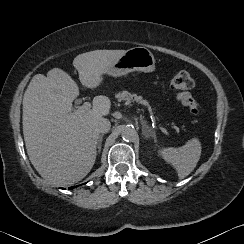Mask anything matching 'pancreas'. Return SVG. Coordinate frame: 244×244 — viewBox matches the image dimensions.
Listing matches in <instances>:
<instances>
[{"label": "pancreas", "mask_w": 244, "mask_h": 244, "mask_svg": "<svg viewBox=\"0 0 244 244\" xmlns=\"http://www.w3.org/2000/svg\"><path fill=\"white\" fill-rule=\"evenodd\" d=\"M115 97L118 99V101H128V102H140L141 104H144L146 106H148V102L146 100H143V98L141 96H138L136 94H132L128 91H122L119 92L115 95Z\"/></svg>", "instance_id": "pancreas-1"}]
</instances>
